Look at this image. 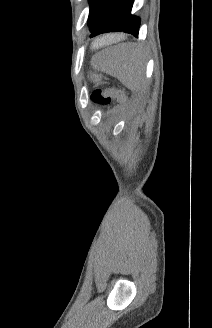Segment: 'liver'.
<instances>
[{
    "label": "liver",
    "instance_id": "liver-1",
    "mask_svg": "<svg viewBox=\"0 0 212 328\" xmlns=\"http://www.w3.org/2000/svg\"><path fill=\"white\" fill-rule=\"evenodd\" d=\"M112 37V39H114V41H120V40H122V39H124V36H122V35H117V36H111Z\"/></svg>",
    "mask_w": 212,
    "mask_h": 328
}]
</instances>
